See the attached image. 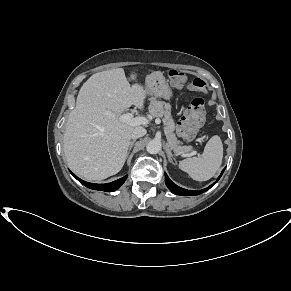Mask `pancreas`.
<instances>
[{
	"label": "pancreas",
	"instance_id": "obj_1",
	"mask_svg": "<svg viewBox=\"0 0 291 291\" xmlns=\"http://www.w3.org/2000/svg\"><path fill=\"white\" fill-rule=\"evenodd\" d=\"M149 113L156 118H163L164 123L167 127V139L170 146L177 155H187L191 150L190 146H181L180 141L177 140V137L174 133L175 122L171 115V106L162 101L153 100L149 106Z\"/></svg>",
	"mask_w": 291,
	"mask_h": 291
}]
</instances>
